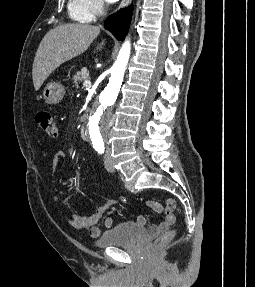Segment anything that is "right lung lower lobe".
<instances>
[{
  "label": "right lung lower lobe",
  "instance_id": "98d812e1",
  "mask_svg": "<svg viewBox=\"0 0 255 287\" xmlns=\"http://www.w3.org/2000/svg\"><path fill=\"white\" fill-rule=\"evenodd\" d=\"M132 16V6L125 8L113 15H110L105 23L104 27L110 31L117 40H123L128 32L130 21Z\"/></svg>",
  "mask_w": 255,
  "mask_h": 287
}]
</instances>
